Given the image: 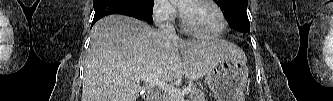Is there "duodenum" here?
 <instances>
[{"label": "duodenum", "mask_w": 333, "mask_h": 101, "mask_svg": "<svg viewBox=\"0 0 333 101\" xmlns=\"http://www.w3.org/2000/svg\"><path fill=\"white\" fill-rule=\"evenodd\" d=\"M143 100L144 101H159V97L155 91L147 90L143 94Z\"/></svg>", "instance_id": "1"}]
</instances>
